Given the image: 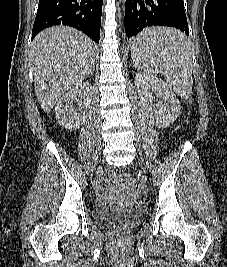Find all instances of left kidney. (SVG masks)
<instances>
[{"mask_svg":"<svg viewBox=\"0 0 227 267\" xmlns=\"http://www.w3.org/2000/svg\"><path fill=\"white\" fill-rule=\"evenodd\" d=\"M134 82L145 111L156 127L165 128L177 119L181 106L168 83L158 77H143V73H137ZM151 90L160 98L156 103Z\"/></svg>","mask_w":227,"mask_h":267,"instance_id":"5707ae66","label":"left kidney"}]
</instances>
